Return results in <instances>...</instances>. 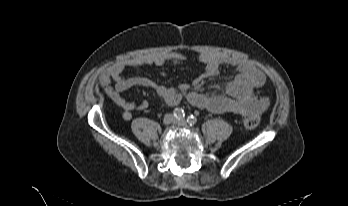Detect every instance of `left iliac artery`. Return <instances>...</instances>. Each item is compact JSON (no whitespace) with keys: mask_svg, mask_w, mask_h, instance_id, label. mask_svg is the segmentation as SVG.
I'll list each match as a JSON object with an SVG mask.
<instances>
[{"mask_svg":"<svg viewBox=\"0 0 348 206\" xmlns=\"http://www.w3.org/2000/svg\"><path fill=\"white\" fill-rule=\"evenodd\" d=\"M187 122L190 126H193L197 123V118L195 115L191 114L190 116H188L187 118Z\"/></svg>","mask_w":348,"mask_h":206,"instance_id":"left-iliac-artery-1","label":"left iliac artery"}]
</instances>
